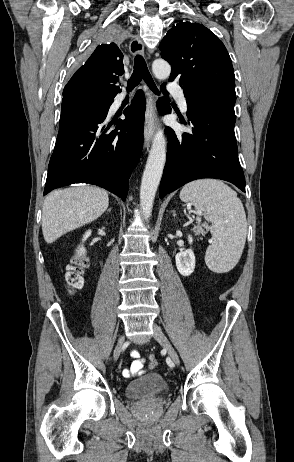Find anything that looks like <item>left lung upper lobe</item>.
<instances>
[{"instance_id": "left-lung-upper-lobe-1", "label": "left lung upper lobe", "mask_w": 294, "mask_h": 462, "mask_svg": "<svg viewBox=\"0 0 294 462\" xmlns=\"http://www.w3.org/2000/svg\"><path fill=\"white\" fill-rule=\"evenodd\" d=\"M159 48L172 66L169 81L179 79L186 98L214 93L236 100L230 56L208 28L180 22L168 31Z\"/></svg>"}]
</instances>
